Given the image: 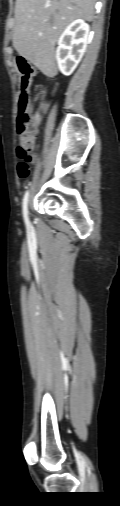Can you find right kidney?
<instances>
[{"instance_id": "ca27d5eb", "label": "right kidney", "mask_w": 120, "mask_h": 506, "mask_svg": "<svg viewBox=\"0 0 120 506\" xmlns=\"http://www.w3.org/2000/svg\"><path fill=\"white\" fill-rule=\"evenodd\" d=\"M90 27L82 19L70 23L58 40L56 60L64 75H70L82 59L89 41Z\"/></svg>"}]
</instances>
